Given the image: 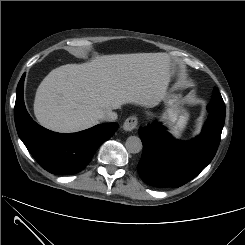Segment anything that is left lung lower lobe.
Wrapping results in <instances>:
<instances>
[{
    "label": "left lung lower lobe",
    "instance_id": "1",
    "mask_svg": "<svg viewBox=\"0 0 245 245\" xmlns=\"http://www.w3.org/2000/svg\"><path fill=\"white\" fill-rule=\"evenodd\" d=\"M225 117L209 112L202 133L191 141L175 140L160 122L139 128L143 154L141 179L155 187H180L196 177L218 149Z\"/></svg>",
    "mask_w": 245,
    "mask_h": 245
}]
</instances>
